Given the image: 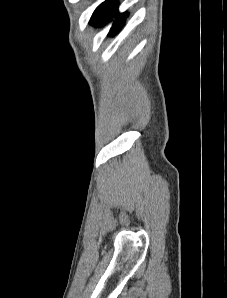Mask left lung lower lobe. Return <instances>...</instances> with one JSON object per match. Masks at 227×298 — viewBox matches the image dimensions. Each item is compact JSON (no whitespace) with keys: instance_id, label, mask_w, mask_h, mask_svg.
<instances>
[{"instance_id":"obj_1","label":"left lung lower lobe","mask_w":227,"mask_h":298,"mask_svg":"<svg viewBox=\"0 0 227 298\" xmlns=\"http://www.w3.org/2000/svg\"><path fill=\"white\" fill-rule=\"evenodd\" d=\"M117 5H118L117 0H108L106 9H105L103 15L101 16L99 22L96 25V26L102 27L106 23L110 22L112 20V18H115V20L113 22V26L110 30L111 36H114L117 32L120 31L122 25L124 24L125 18L128 16V14L126 12L120 14L117 11Z\"/></svg>"}]
</instances>
